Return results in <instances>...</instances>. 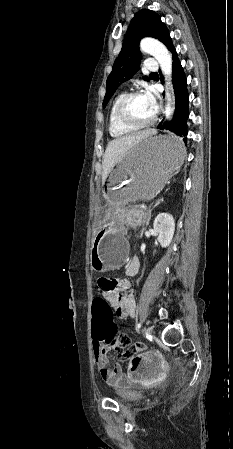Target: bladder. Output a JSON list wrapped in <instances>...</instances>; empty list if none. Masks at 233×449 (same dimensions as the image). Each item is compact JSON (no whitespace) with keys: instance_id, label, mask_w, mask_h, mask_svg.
Here are the masks:
<instances>
[{"instance_id":"31cf9c89","label":"bladder","mask_w":233,"mask_h":449,"mask_svg":"<svg viewBox=\"0 0 233 449\" xmlns=\"http://www.w3.org/2000/svg\"><path fill=\"white\" fill-rule=\"evenodd\" d=\"M117 400L124 404L139 402L142 396L131 387H120L117 390Z\"/></svg>"}]
</instances>
